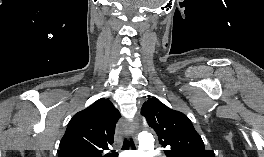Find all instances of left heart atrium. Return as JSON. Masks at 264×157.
<instances>
[{"instance_id":"obj_1","label":"left heart atrium","mask_w":264,"mask_h":157,"mask_svg":"<svg viewBox=\"0 0 264 157\" xmlns=\"http://www.w3.org/2000/svg\"><path fill=\"white\" fill-rule=\"evenodd\" d=\"M122 157H138V156H135V155H128V154H124V155H122Z\"/></svg>"}]
</instances>
